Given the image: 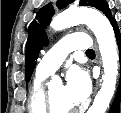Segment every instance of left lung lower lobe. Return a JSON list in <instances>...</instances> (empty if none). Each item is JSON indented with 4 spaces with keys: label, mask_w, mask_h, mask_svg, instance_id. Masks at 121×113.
<instances>
[{
    "label": "left lung lower lobe",
    "mask_w": 121,
    "mask_h": 113,
    "mask_svg": "<svg viewBox=\"0 0 121 113\" xmlns=\"http://www.w3.org/2000/svg\"><path fill=\"white\" fill-rule=\"evenodd\" d=\"M113 28H114V31H115V35H116V38H117V42H118V46H119V51H120V62H121V36H120V32H119V29L117 27V24H116V21L114 18H111L109 19ZM120 83H121V80H120ZM121 99V93H120V87L118 88V92H117V95H116V98L110 108V111L109 113H119V100Z\"/></svg>",
    "instance_id": "left-lung-lower-lobe-1"
}]
</instances>
